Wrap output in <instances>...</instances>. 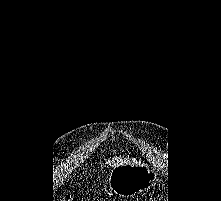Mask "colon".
<instances>
[{"instance_id": "5ec220e1", "label": "colon", "mask_w": 221, "mask_h": 201, "mask_svg": "<svg viewBox=\"0 0 221 201\" xmlns=\"http://www.w3.org/2000/svg\"><path fill=\"white\" fill-rule=\"evenodd\" d=\"M61 201H79V200L75 197L66 196V197L62 198Z\"/></svg>"}]
</instances>
